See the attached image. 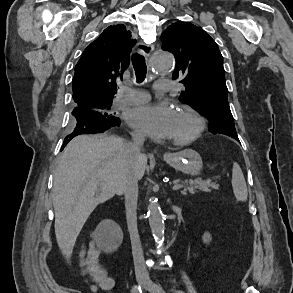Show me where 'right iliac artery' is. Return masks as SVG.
Masks as SVG:
<instances>
[{"label":"right iliac artery","instance_id":"obj_1","mask_svg":"<svg viewBox=\"0 0 293 293\" xmlns=\"http://www.w3.org/2000/svg\"><path fill=\"white\" fill-rule=\"evenodd\" d=\"M132 293H142L140 286H134L132 289Z\"/></svg>","mask_w":293,"mask_h":293}]
</instances>
